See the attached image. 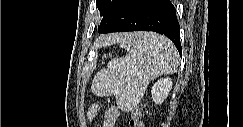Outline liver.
Listing matches in <instances>:
<instances>
[{
  "instance_id": "6515ba94",
  "label": "liver",
  "mask_w": 243,
  "mask_h": 127,
  "mask_svg": "<svg viewBox=\"0 0 243 127\" xmlns=\"http://www.w3.org/2000/svg\"><path fill=\"white\" fill-rule=\"evenodd\" d=\"M131 34H115L109 37H105V38H101L99 40H97L98 43H103V42H114V41H121L123 39H125L126 37H128Z\"/></svg>"
}]
</instances>
